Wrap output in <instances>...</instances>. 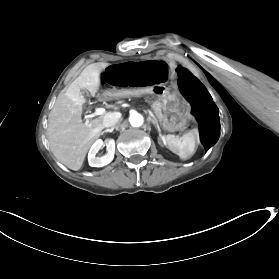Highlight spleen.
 I'll list each match as a JSON object with an SVG mask.
<instances>
[{
    "label": "spleen",
    "mask_w": 279,
    "mask_h": 279,
    "mask_svg": "<svg viewBox=\"0 0 279 279\" xmlns=\"http://www.w3.org/2000/svg\"><path fill=\"white\" fill-rule=\"evenodd\" d=\"M165 142L167 148L182 159H188L195 152L193 132H185L181 138L175 135H166Z\"/></svg>",
    "instance_id": "3e777b00"
}]
</instances>
